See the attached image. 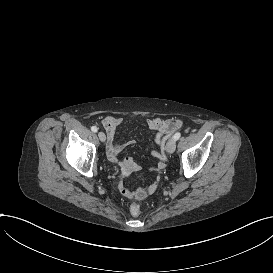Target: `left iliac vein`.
<instances>
[{"instance_id":"obj_1","label":"left iliac vein","mask_w":273,"mask_h":273,"mask_svg":"<svg viewBox=\"0 0 273 273\" xmlns=\"http://www.w3.org/2000/svg\"><path fill=\"white\" fill-rule=\"evenodd\" d=\"M175 148H176V141L174 139H170L167 143V146H166V151L169 153V154H172L174 153L175 151Z\"/></svg>"}]
</instances>
